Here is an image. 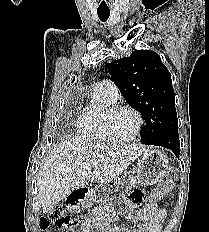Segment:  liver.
Listing matches in <instances>:
<instances>
[{"instance_id":"6515ba94","label":"liver","mask_w":209,"mask_h":232,"mask_svg":"<svg viewBox=\"0 0 209 232\" xmlns=\"http://www.w3.org/2000/svg\"><path fill=\"white\" fill-rule=\"evenodd\" d=\"M142 145L103 144L68 138L56 146L41 168L38 186L43 213L90 181L106 184L116 179L138 157L147 153ZM93 161H98L93 165Z\"/></svg>"}]
</instances>
